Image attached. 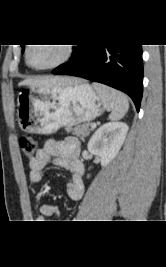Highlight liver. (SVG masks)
Masks as SVG:
<instances>
[{
	"label": "liver",
	"instance_id": "liver-1",
	"mask_svg": "<svg viewBox=\"0 0 166 267\" xmlns=\"http://www.w3.org/2000/svg\"><path fill=\"white\" fill-rule=\"evenodd\" d=\"M78 81L79 80L70 77H42L38 79H26L21 81L19 86L57 87L73 85Z\"/></svg>",
	"mask_w": 166,
	"mask_h": 267
}]
</instances>
